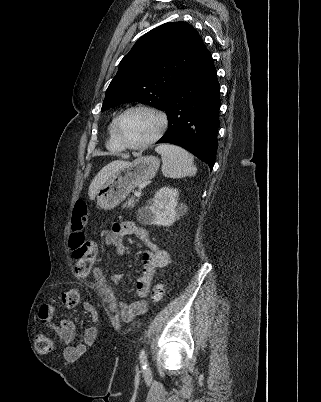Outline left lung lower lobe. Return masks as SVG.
Wrapping results in <instances>:
<instances>
[{"label":"left lung lower lobe","instance_id":"0a47b994","mask_svg":"<svg viewBox=\"0 0 321 402\" xmlns=\"http://www.w3.org/2000/svg\"><path fill=\"white\" fill-rule=\"evenodd\" d=\"M219 90L212 56L206 50L169 94L163 108L168 117V131L157 143L179 145L212 170L218 143Z\"/></svg>","mask_w":321,"mask_h":402}]
</instances>
